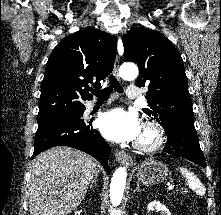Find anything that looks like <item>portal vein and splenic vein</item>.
I'll list each match as a JSON object with an SVG mask.
<instances>
[{
  "mask_svg": "<svg viewBox=\"0 0 221 215\" xmlns=\"http://www.w3.org/2000/svg\"><path fill=\"white\" fill-rule=\"evenodd\" d=\"M174 189V186L170 185L168 186V190H173Z\"/></svg>",
  "mask_w": 221,
  "mask_h": 215,
  "instance_id": "18ae733b",
  "label": "portal vein and splenic vein"
}]
</instances>
